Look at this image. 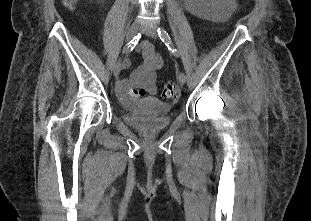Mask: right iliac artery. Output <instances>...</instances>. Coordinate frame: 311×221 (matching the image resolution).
Wrapping results in <instances>:
<instances>
[{"label":"right iliac artery","instance_id":"82829eb1","mask_svg":"<svg viewBox=\"0 0 311 221\" xmlns=\"http://www.w3.org/2000/svg\"><path fill=\"white\" fill-rule=\"evenodd\" d=\"M140 38H141V34L138 33L136 36L133 37V39L129 43H127V45L124 47V51L123 52L125 54L130 53L134 49V47L137 45V43L139 42Z\"/></svg>","mask_w":311,"mask_h":221}]
</instances>
